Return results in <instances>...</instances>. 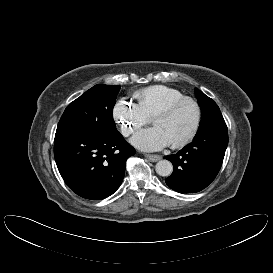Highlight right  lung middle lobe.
I'll return each instance as SVG.
<instances>
[{
	"label": "right lung middle lobe",
	"mask_w": 273,
	"mask_h": 273,
	"mask_svg": "<svg viewBox=\"0 0 273 273\" xmlns=\"http://www.w3.org/2000/svg\"><path fill=\"white\" fill-rule=\"evenodd\" d=\"M119 90V85L98 84L71 102L58 123L55 137L90 133L107 137L119 133L112 115Z\"/></svg>",
	"instance_id": "obj_1"
}]
</instances>
